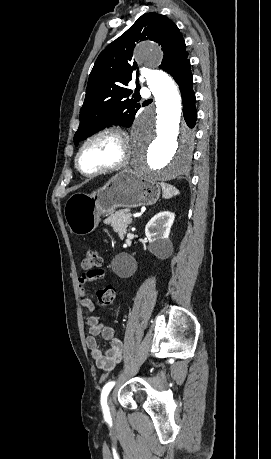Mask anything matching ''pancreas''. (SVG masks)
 Masks as SVG:
<instances>
[{
  "label": "pancreas",
  "instance_id": "obj_1",
  "mask_svg": "<svg viewBox=\"0 0 271 459\" xmlns=\"http://www.w3.org/2000/svg\"><path fill=\"white\" fill-rule=\"evenodd\" d=\"M130 213V210H118L115 214H111L109 220L106 222L107 226H113L114 231L118 233L119 237H123V233H126L128 224H131L132 217H126L127 213Z\"/></svg>",
  "mask_w": 271,
  "mask_h": 459
}]
</instances>
